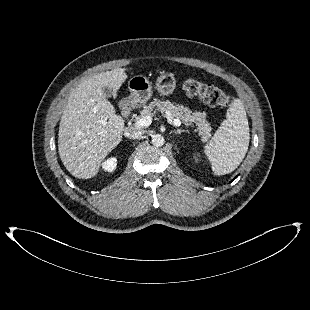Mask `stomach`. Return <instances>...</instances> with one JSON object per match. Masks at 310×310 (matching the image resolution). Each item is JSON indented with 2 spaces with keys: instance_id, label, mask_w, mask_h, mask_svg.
Returning a JSON list of instances; mask_svg holds the SVG:
<instances>
[{
  "instance_id": "1",
  "label": "stomach",
  "mask_w": 310,
  "mask_h": 310,
  "mask_svg": "<svg viewBox=\"0 0 310 310\" xmlns=\"http://www.w3.org/2000/svg\"><path fill=\"white\" fill-rule=\"evenodd\" d=\"M154 87L161 96L171 95L176 89L175 75L170 72H161ZM128 88L135 104L146 103L153 93L152 83L143 75L132 77L128 82Z\"/></svg>"
}]
</instances>
